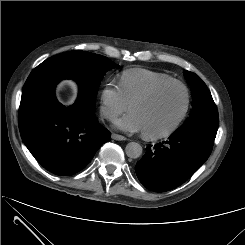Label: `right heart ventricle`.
<instances>
[{"label": "right heart ventricle", "mask_w": 245, "mask_h": 245, "mask_svg": "<svg viewBox=\"0 0 245 245\" xmlns=\"http://www.w3.org/2000/svg\"><path fill=\"white\" fill-rule=\"evenodd\" d=\"M169 80H173V78L161 72L132 68L122 72L118 86L123 98L129 104L134 98L143 94L155 84Z\"/></svg>", "instance_id": "obj_1"}]
</instances>
